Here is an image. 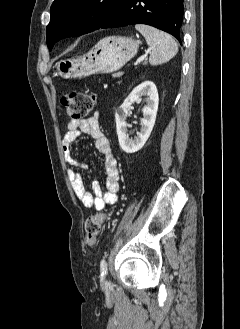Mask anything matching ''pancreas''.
Segmentation results:
<instances>
[{
	"mask_svg": "<svg viewBox=\"0 0 240 329\" xmlns=\"http://www.w3.org/2000/svg\"><path fill=\"white\" fill-rule=\"evenodd\" d=\"M122 74L121 73H117L114 75V77H120Z\"/></svg>",
	"mask_w": 240,
	"mask_h": 329,
	"instance_id": "pancreas-1",
	"label": "pancreas"
}]
</instances>
